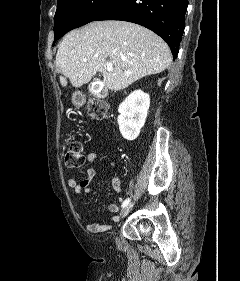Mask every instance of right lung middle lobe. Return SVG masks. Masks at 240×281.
<instances>
[{
    "mask_svg": "<svg viewBox=\"0 0 240 281\" xmlns=\"http://www.w3.org/2000/svg\"><path fill=\"white\" fill-rule=\"evenodd\" d=\"M117 0H58L54 17L55 40L68 31L95 21Z\"/></svg>",
    "mask_w": 240,
    "mask_h": 281,
    "instance_id": "1",
    "label": "right lung middle lobe"
}]
</instances>
